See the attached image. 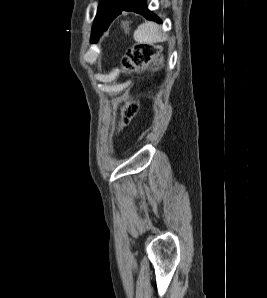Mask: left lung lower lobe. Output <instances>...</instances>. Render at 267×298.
<instances>
[{"instance_id": "obj_1", "label": "left lung lower lobe", "mask_w": 267, "mask_h": 298, "mask_svg": "<svg viewBox=\"0 0 267 298\" xmlns=\"http://www.w3.org/2000/svg\"><path fill=\"white\" fill-rule=\"evenodd\" d=\"M123 10L133 11L143 15L148 20L160 22L159 18L148 10L145 0H122L97 13L92 27V40L97 39Z\"/></svg>"}]
</instances>
